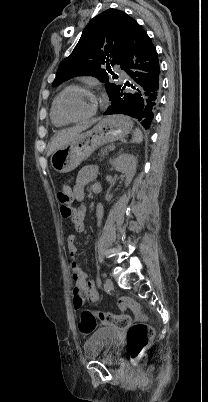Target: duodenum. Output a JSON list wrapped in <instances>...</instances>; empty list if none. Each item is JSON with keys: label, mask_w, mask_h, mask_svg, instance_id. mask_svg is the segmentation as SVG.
Listing matches in <instances>:
<instances>
[{"label": "duodenum", "mask_w": 208, "mask_h": 402, "mask_svg": "<svg viewBox=\"0 0 208 402\" xmlns=\"http://www.w3.org/2000/svg\"><path fill=\"white\" fill-rule=\"evenodd\" d=\"M94 193H99L100 192V187L99 186H95L93 188Z\"/></svg>", "instance_id": "obj_1"}]
</instances>
